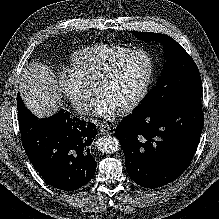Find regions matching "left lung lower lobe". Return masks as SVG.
Here are the masks:
<instances>
[{
  "mask_svg": "<svg viewBox=\"0 0 219 219\" xmlns=\"http://www.w3.org/2000/svg\"><path fill=\"white\" fill-rule=\"evenodd\" d=\"M201 97L152 113H132L115 130L130 178L157 188L178 178L189 166L203 128Z\"/></svg>",
  "mask_w": 219,
  "mask_h": 219,
  "instance_id": "1",
  "label": "left lung lower lobe"
}]
</instances>
